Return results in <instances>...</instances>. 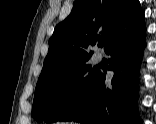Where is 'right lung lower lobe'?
Instances as JSON below:
<instances>
[{"mask_svg":"<svg viewBox=\"0 0 156 124\" xmlns=\"http://www.w3.org/2000/svg\"><path fill=\"white\" fill-rule=\"evenodd\" d=\"M146 27L128 31L107 50L112 87L106 88L101 72L82 98L59 121L86 124H142L137 109L139 68L145 47Z\"/></svg>","mask_w":156,"mask_h":124,"instance_id":"right-lung-lower-lobe-1","label":"right lung lower lobe"}]
</instances>
